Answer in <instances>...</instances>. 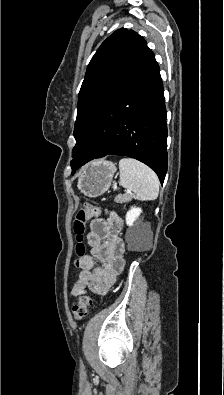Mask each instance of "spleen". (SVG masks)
<instances>
[{"label":"spleen","instance_id":"obj_1","mask_svg":"<svg viewBox=\"0 0 224 395\" xmlns=\"http://www.w3.org/2000/svg\"><path fill=\"white\" fill-rule=\"evenodd\" d=\"M120 184L141 201L155 200L159 194V179L147 165L131 158L119 161Z\"/></svg>","mask_w":224,"mask_h":395}]
</instances>
